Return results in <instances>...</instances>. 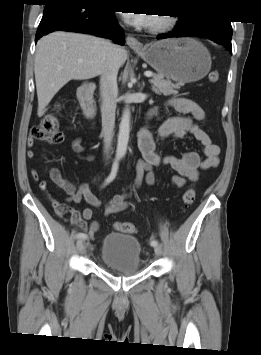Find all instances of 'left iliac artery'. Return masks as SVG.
I'll use <instances>...</instances> for the list:
<instances>
[{
    "label": "left iliac artery",
    "instance_id": "44dca946",
    "mask_svg": "<svg viewBox=\"0 0 261 355\" xmlns=\"http://www.w3.org/2000/svg\"><path fill=\"white\" fill-rule=\"evenodd\" d=\"M150 245L154 247V246L158 245V241L153 239V240H151Z\"/></svg>",
    "mask_w": 261,
    "mask_h": 355
}]
</instances>
